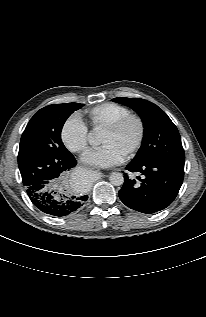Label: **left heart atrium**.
Masks as SVG:
<instances>
[{"label":"left heart atrium","mask_w":206,"mask_h":317,"mask_svg":"<svg viewBox=\"0 0 206 317\" xmlns=\"http://www.w3.org/2000/svg\"><path fill=\"white\" fill-rule=\"evenodd\" d=\"M125 154L110 144L95 147L84 154L82 160L86 163L101 167H110L120 164Z\"/></svg>","instance_id":"39dd6f15"}]
</instances>
